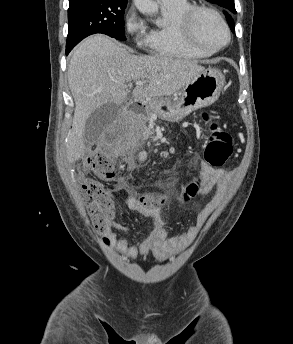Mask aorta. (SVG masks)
Returning a JSON list of instances; mask_svg holds the SVG:
<instances>
[{
	"mask_svg": "<svg viewBox=\"0 0 293 344\" xmlns=\"http://www.w3.org/2000/svg\"><path fill=\"white\" fill-rule=\"evenodd\" d=\"M137 9L144 15L152 16L158 12V4L153 0H133Z\"/></svg>",
	"mask_w": 293,
	"mask_h": 344,
	"instance_id": "762f6f07",
	"label": "aorta"
}]
</instances>
